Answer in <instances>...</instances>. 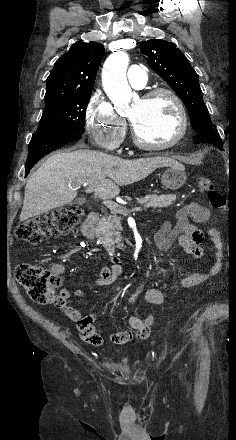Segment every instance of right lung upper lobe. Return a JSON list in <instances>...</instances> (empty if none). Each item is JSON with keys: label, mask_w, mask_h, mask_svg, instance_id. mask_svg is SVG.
I'll return each instance as SVG.
<instances>
[{"label": "right lung upper lobe", "mask_w": 236, "mask_h": 440, "mask_svg": "<svg viewBox=\"0 0 236 440\" xmlns=\"http://www.w3.org/2000/svg\"><path fill=\"white\" fill-rule=\"evenodd\" d=\"M103 56L100 43H74L55 62L47 78L45 103L90 93Z\"/></svg>", "instance_id": "obj_1"}]
</instances>
